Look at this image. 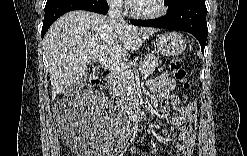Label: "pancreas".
Returning <instances> with one entry per match:
<instances>
[{
    "mask_svg": "<svg viewBox=\"0 0 247 156\" xmlns=\"http://www.w3.org/2000/svg\"><path fill=\"white\" fill-rule=\"evenodd\" d=\"M159 63L160 61L154 54L147 53L139 63V70L145 77H148L155 71ZM128 67L130 68V66ZM111 84V89L119 93L127 100H129L132 95V91L135 89L134 77L127 75L113 74Z\"/></svg>",
    "mask_w": 247,
    "mask_h": 156,
    "instance_id": "1",
    "label": "pancreas"
}]
</instances>
